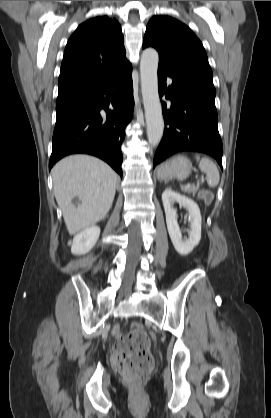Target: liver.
Returning <instances> with one entry per match:
<instances>
[{"mask_svg":"<svg viewBox=\"0 0 271 418\" xmlns=\"http://www.w3.org/2000/svg\"><path fill=\"white\" fill-rule=\"evenodd\" d=\"M54 194L70 235H75L102 220L110 210L117 174L102 160L88 155H73L52 169ZM78 197L76 206L72 199Z\"/></svg>","mask_w":271,"mask_h":418,"instance_id":"1","label":"liver"}]
</instances>
